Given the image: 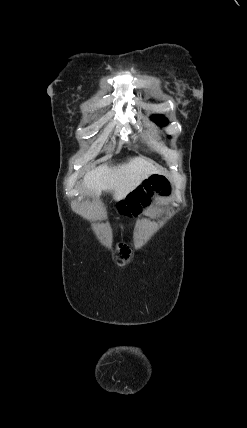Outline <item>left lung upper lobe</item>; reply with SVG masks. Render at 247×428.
Masks as SVG:
<instances>
[{"mask_svg": "<svg viewBox=\"0 0 247 428\" xmlns=\"http://www.w3.org/2000/svg\"><path fill=\"white\" fill-rule=\"evenodd\" d=\"M152 120L160 126L167 124V119L162 115H154V116H152Z\"/></svg>", "mask_w": 247, "mask_h": 428, "instance_id": "left-lung-upper-lobe-1", "label": "left lung upper lobe"}]
</instances>
